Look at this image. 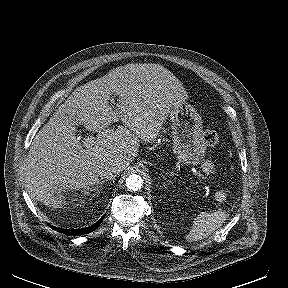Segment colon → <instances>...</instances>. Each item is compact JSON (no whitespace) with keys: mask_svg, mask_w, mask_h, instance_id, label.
<instances>
[{"mask_svg":"<svg viewBox=\"0 0 288 288\" xmlns=\"http://www.w3.org/2000/svg\"><path fill=\"white\" fill-rule=\"evenodd\" d=\"M204 142L209 147H217L219 145L220 136L215 126H212L205 131Z\"/></svg>","mask_w":288,"mask_h":288,"instance_id":"5ec220e1","label":"colon"}]
</instances>
